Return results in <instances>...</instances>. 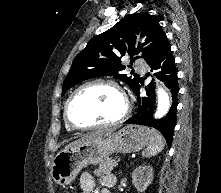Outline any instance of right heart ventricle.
I'll use <instances>...</instances> for the list:
<instances>
[{
    "label": "right heart ventricle",
    "mask_w": 221,
    "mask_h": 193,
    "mask_svg": "<svg viewBox=\"0 0 221 193\" xmlns=\"http://www.w3.org/2000/svg\"><path fill=\"white\" fill-rule=\"evenodd\" d=\"M67 128H68L69 131H72V128H70L69 126H67Z\"/></svg>",
    "instance_id": "right-heart-ventricle-1"
}]
</instances>
